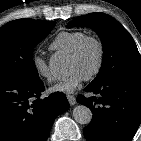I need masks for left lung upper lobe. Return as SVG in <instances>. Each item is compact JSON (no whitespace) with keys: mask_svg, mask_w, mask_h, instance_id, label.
Here are the masks:
<instances>
[{"mask_svg":"<svg viewBox=\"0 0 141 141\" xmlns=\"http://www.w3.org/2000/svg\"><path fill=\"white\" fill-rule=\"evenodd\" d=\"M67 27H90L102 41V66L91 84L119 76H141V56L135 41L113 17L104 13H92L74 19Z\"/></svg>","mask_w":141,"mask_h":141,"instance_id":"left-lung-upper-lobe-1","label":"left lung upper lobe"}]
</instances>
